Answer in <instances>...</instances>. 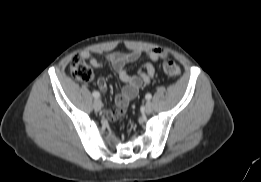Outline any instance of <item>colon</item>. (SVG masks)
<instances>
[{"label":"colon","mask_w":261,"mask_h":182,"mask_svg":"<svg viewBox=\"0 0 261 182\" xmlns=\"http://www.w3.org/2000/svg\"><path fill=\"white\" fill-rule=\"evenodd\" d=\"M69 68L73 78L78 81L87 82L93 78V70L90 64L79 55L71 59ZM163 70L170 77H178L180 74L179 66L168 58L163 60Z\"/></svg>","instance_id":"1"}]
</instances>
